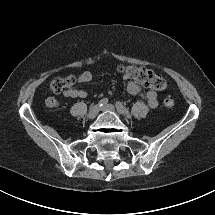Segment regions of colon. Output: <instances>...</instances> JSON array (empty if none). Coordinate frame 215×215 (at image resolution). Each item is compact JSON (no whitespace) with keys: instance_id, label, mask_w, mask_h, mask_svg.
<instances>
[{"instance_id":"obj_1","label":"colon","mask_w":215,"mask_h":215,"mask_svg":"<svg viewBox=\"0 0 215 215\" xmlns=\"http://www.w3.org/2000/svg\"><path fill=\"white\" fill-rule=\"evenodd\" d=\"M118 71L126 78L132 79L145 87L155 90H164L167 86L165 79L154 71L142 68L136 65H121ZM76 83L74 76L56 77L50 83V95L45 99V106L49 109H55L59 105V94L64 89L72 88ZM163 103L166 107L175 105L174 99L166 94Z\"/></svg>"}]
</instances>
